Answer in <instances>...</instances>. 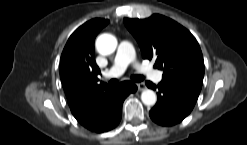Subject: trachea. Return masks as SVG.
<instances>
[{"label":"trachea","mask_w":247,"mask_h":145,"mask_svg":"<svg viewBox=\"0 0 247 145\" xmlns=\"http://www.w3.org/2000/svg\"><path fill=\"white\" fill-rule=\"evenodd\" d=\"M131 79L135 82H141L144 80V76L142 75H132L131 76ZM118 83V80L117 79H112L109 84L110 85H116Z\"/></svg>","instance_id":"1"}]
</instances>
